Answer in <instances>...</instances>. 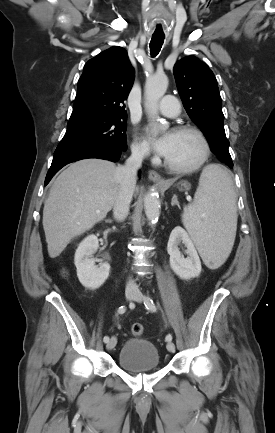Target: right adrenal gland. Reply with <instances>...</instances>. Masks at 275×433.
<instances>
[{"instance_id": "1", "label": "right adrenal gland", "mask_w": 275, "mask_h": 433, "mask_svg": "<svg viewBox=\"0 0 275 433\" xmlns=\"http://www.w3.org/2000/svg\"><path fill=\"white\" fill-rule=\"evenodd\" d=\"M105 222L106 223H112V220H106Z\"/></svg>"}]
</instances>
